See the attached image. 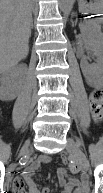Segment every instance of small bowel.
I'll list each match as a JSON object with an SVG mask.
<instances>
[{
	"mask_svg": "<svg viewBox=\"0 0 103 193\" xmlns=\"http://www.w3.org/2000/svg\"><path fill=\"white\" fill-rule=\"evenodd\" d=\"M49 161L47 156H41L40 158L32 161L22 172L20 177H16L13 180L12 192L13 193H51V189L45 187L40 189L38 185L33 181L32 176L36 172L42 163ZM59 182L62 187L61 193H87L89 190V181L87 177H82L81 180L70 178L67 176V172L64 169H60L58 172ZM24 183L28 185V192L24 190Z\"/></svg>",
	"mask_w": 103,
	"mask_h": 193,
	"instance_id": "c3829d8e",
	"label": "small bowel"
}]
</instances>
